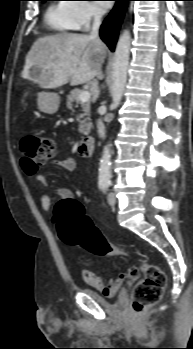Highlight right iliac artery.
<instances>
[{
    "label": "right iliac artery",
    "mask_w": 193,
    "mask_h": 349,
    "mask_svg": "<svg viewBox=\"0 0 193 349\" xmlns=\"http://www.w3.org/2000/svg\"><path fill=\"white\" fill-rule=\"evenodd\" d=\"M106 185H107L106 183H100V184H99V188H100V189H104Z\"/></svg>",
    "instance_id": "82829eb1"
}]
</instances>
